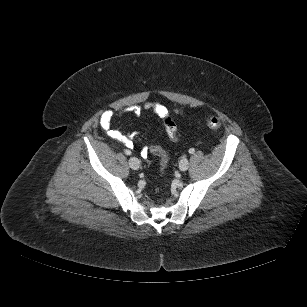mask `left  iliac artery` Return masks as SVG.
Returning <instances> with one entry per match:
<instances>
[{
	"label": "left iliac artery",
	"mask_w": 307,
	"mask_h": 307,
	"mask_svg": "<svg viewBox=\"0 0 307 307\" xmlns=\"http://www.w3.org/2000/svg\"><path fill=\"white\" fill-rule=\"evenodd\" d=\"M194 152H195V149H194V148H190V149H189V153H190V154H193Z\"/></svg>",
	"instance_id": "left-iliac-artery-1"
}]
</instances>
